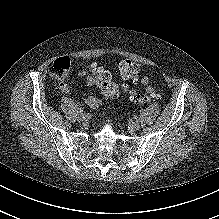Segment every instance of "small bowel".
Masks as SVG:
<instances>
[{
  "label": "small bowel",
  "instance_id": "obj_1",
  "mask_svg": "<svg viewBox=\"0 0 219 219\" xmlns=\"http://www.w3.org/2000/svg\"><path fill=\"white\" fill-rule=\"evenodd\" d=\"M93 68H101L95 64H92L89 68L87 69H83L81 70L77 77L78 78H84L86 81V84L88 86H95L96 84V75L95 73L92 71ZM102 69V68H101ZM138 76L134 79L135 82H137ZM140 82L144 85L147 86V91H152L154 90L152 86L149 85V78L147 76H143L142 78H140ZM60 89L64 92V93H70V87L68 84L66 83H61L60 84ZM83 101L85 102V104H87L88 106H90L91 108H98L101 105V100L100 98L96 97V96H89V97H85L83 98Z\"/></svg>",
  "mask_w": 219,
  "mask_h": 219
}]
</instances>
